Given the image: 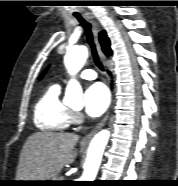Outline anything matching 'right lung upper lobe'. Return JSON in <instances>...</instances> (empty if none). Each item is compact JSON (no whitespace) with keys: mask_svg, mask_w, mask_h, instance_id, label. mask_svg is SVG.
Wrapping results in <instances>:
<instances>
[{"mask_svg":"<svg viewBox=\"0 0 178 186\" xmlns=\"http://www.w3.org/2000/svg\"><path fill=\"white\" fill-rule=\"evenodd\" d=\"M99 41L101 43L102 46V50L105 53L106 56H110L112 55V50L110 48V40L107 37V34L105 31H101L99 33Z\"/></svg>","mask_w":178,"mask_h":186,"instance_id":"cb5924a9","label":"right lung upper lobe"}]
</instances>
